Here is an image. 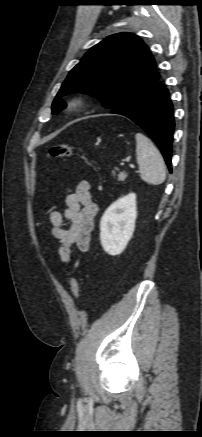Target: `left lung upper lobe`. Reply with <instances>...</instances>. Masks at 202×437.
<instances>
[{"instance_id": "obj_1", "label": "left lung upper lobe", "mask_w": 202, "mask_h": 437, "mask_svg": "<svg viewBox=\"0 0 202 437\" xmlns=\"http://www.w3.org/2000/svg\"><path fill=\"white\" fill-rule=\"evenodd\" d=\"M158 76L156 62L138 36L111 35L93 46L70 71L53 101L52 114L65 108L61 96L77 91L100 96L104 107L113 109Z\"/></svg>"}]
</instances>
